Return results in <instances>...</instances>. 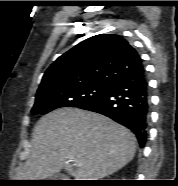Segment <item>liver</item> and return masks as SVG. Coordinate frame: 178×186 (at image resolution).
I'll list each match as a JSON object with an SVG mask.
<instances>
[{
    "mask_svg": "<svg viewBox=\"0 0 178 186\" xmlns=\"http://www.w3.org/2000/svg\"><path fill=\"white\" fill-rule=\"evenodd\" d=\"M136 148L133 133L108 117L60 108L36 123L30 156L17 177L44 180L64 169L75 180H99L127 165Z\"/></svg>",
    "mask_w": 178,
    "mask_h": 186,
    "instance_id": "6515ba94",
    "label": "liver"
}]
</instances>
